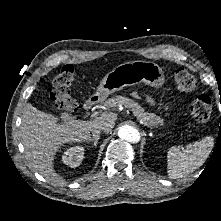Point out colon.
Returning <instances> with one entry per match:
<instances>
[{"instance_id":"colon-1","label":"colon","mask_w":221,"mask_h":221,"mask_svg":"<svg viewBox=\"0 0 221 221\" xmlns=\"http://www.w3.org/2000/svg\"><path fill=\"white\" fill-rule=\"evenodd\" d=\"M75 83V68L65 65L53 80L51 102L54 109L61 114H70L75 111L77 103L72 97L70 88ZM175 84L181 92H191L198 86L196 78L186 70L175 73ZM212 111V102L209 96L200 95L190 105V113L196 121H206Z\"/></svg>"}]
</instances>
